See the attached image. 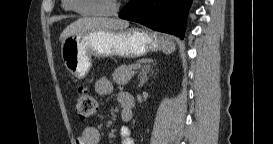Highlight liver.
I'll return each mask as SVG.
<instances>
[{"label": "liver", "instance_id": "1", "mask_svg": "<svg viewBox=\"0 0 273 144\" xmlns=\"http://www.w3.org/2000/svg\"><path fill=\"white\" fill-rule=\"evenodd\" d=\"M129 26V23L120 19L85 17L80 18L68 25L60 35L59 41L63 42L67 37L77 33L92 30H123Z\"/></svg>", "mask_w": 273, "mask_h": 144}]
</instances>
